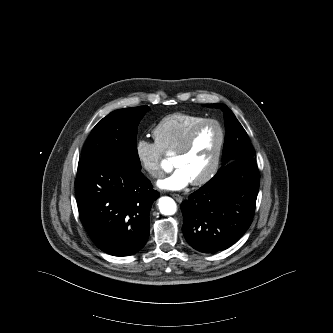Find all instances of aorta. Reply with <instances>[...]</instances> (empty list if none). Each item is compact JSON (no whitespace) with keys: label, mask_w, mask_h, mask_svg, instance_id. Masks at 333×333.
Listing matches in <instances>:
<instances>
[{"label":"aorta","mask_w":333,"mask_h":333,"mask_svg":"<svg viewBox=\"0 0 333 333\" xmlns=\"http://www.w3.org/2000/svg\"><path fill=\"white\" fill-rule=\"evenodd\" d=\"M160 213L163 215H173L177 211L176 202L170 197H161L158 201Z\"/></svg>","instance_id":"762f6f07"}]
</instances>
